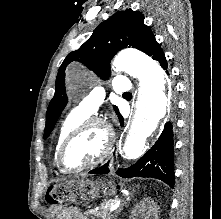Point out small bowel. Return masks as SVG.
Wrapping results in <instances>:
<instances>
[{"label":"small bowel","mask_w":221,"mask_h":219,"mask_svg":"<svg viewBox=\"0 0 221 219\" xmlns=\"http://www.w3.org/2000/svg\"><path fill=\"white\" fill-rule=\"evenodd\" d=\"M59 219H89L78 208H58Z\"/></svg>","instance_id":"obj_1"}]
</instances>
